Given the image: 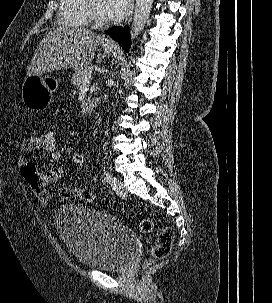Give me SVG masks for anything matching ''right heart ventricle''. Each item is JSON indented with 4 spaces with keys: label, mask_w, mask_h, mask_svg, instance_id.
I'll use <instances>...</instances> for the list:
<instances>
[{
    "label": "right heart ventricle",
    "mask_w": 272,
    "mask_h": 303,
    "mask_svg": "<svg viewBox=\"0 0 272 303\" xmlns=\"http://www.w3.org/2000/svg\"><path fill=\"white\" fill-rule=\"evenodd\" d=\"M86 0H60L58 22L61 26L84 28L89 25L85 11Z\"/></svg>",
    "instance_id": "obj_1"
}]
</instances>
